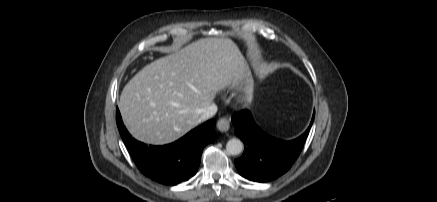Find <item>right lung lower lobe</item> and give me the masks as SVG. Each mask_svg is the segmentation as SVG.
I'll use <instances>...</instances> for the list:
<instances>
[{
	"label": "right lung lower lobe",
	"instance_id": "right-lung-lower-lobe-1",
	"mask_svg": "<svg viewBox=\"0 0 437 202\" xmlns=\"http://www.w3.org/2000/svg\"><path fill=\"white\" fill-rule=\"evenodd\" d=\"M116 123L137 168L145 176L166 185H177L194 176L200 165L202 149L215 139V119L164 146H146L132 138L122 122L118 108Z\"/></svg>",
	"mask_w": 437,
	"mask_h": 202
}]
</instances>
